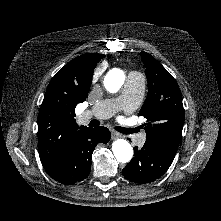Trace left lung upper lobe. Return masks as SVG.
I'll return each mask as SVG.
<instances>
[{
  "mask_svg": "<svg viewBox=\"0 0 221 221\" xmlns=\"http://www.w3.org/2000/svg\"><path fill=\"white\" fill-rule=\"evenodd\" d=\"M141 57L148 82V95L139 111L147 119L143 125L147 134L145 143L178 147L185 118L180 88L153 56L142 51Z\"/></svg>",
  "mask_w": 221,
  "mask_h": 221,
  "instance_id": "5c2ea615",
  "label": "left lung upper lobe"
}]
</instances>
